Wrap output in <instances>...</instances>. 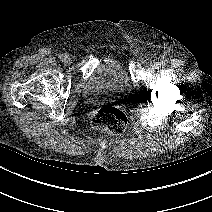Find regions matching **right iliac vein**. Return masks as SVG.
Segmentation results:
<instances>
[{
  "instance_id": "obj_1",
  "label": "right iliac vein",
  "mask_w": 212,
  "mask_h": 212,
  "mask_svg": "<svg viewBox=\"0 0 212 212\" xmlns=\"http://www.w3.org/2000/svg\"><path fill=\"white\" fill-rule=\"evenodd\" d=\"M71 62H72V60H71V58L68 57V56H67V57L65 58V60H64V63H65L66 65H70Z\"/></svg>"
}]
</instances>
